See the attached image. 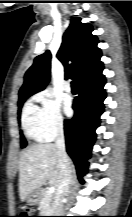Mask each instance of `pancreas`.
Returning a JSON list of instances; mask_svg holds the SVG:
<instances>
[{
  "instance_id": "cf45deb5",
  "label": "pancreas",
  "mask_w": 132,
  "mask_h": 217,
  "mask_svg": "<svg viewBox=\"0 0 132 217\" xmlns=\"http://www.w3.org/2000/svg\"><path fill=\"white\" fill-rule=\"evenodd\" d=\"M39 208L44 216H50L55 209V195L45 191L39 202Z\"/></svg>"
}]
</instances>
